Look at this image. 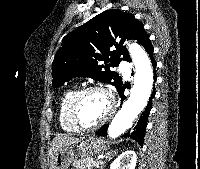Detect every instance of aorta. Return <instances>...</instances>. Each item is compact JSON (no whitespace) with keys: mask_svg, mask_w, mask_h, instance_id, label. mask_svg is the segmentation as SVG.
Listing matches in <instances>:
<instances>
[{"mask_svg":"<svg viewBox=\"0 0 200 169\" xmlns=\"http://www.w3.org/2000/svg\"><path fill=\"white\" fill-rule=\"evenodd\" d=\"M128 50L135 66L134 85L129 98L108 127L110 138H117L131 128L135 118L147 105L153 87V70L148 54L137 43L129 44Z\"/></svg>","mask_w":200,"mask_h":169,"instance_id":"aorta-1","label":"aorta"}]
</instances>
